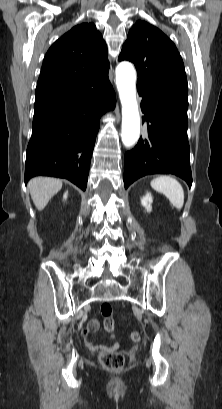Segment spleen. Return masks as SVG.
Masks as SVG:
<instances>
[{"instance_id":"1","label":"spleen","mask_w":222,"mask_h":409,"mask_svg":"<svg viewBox=\"0 0 222 409\" xmlns=\"http://www.w3.org/2000/svg\"><path fill=\"white\" fill-rule=\"evenodd\" d=\"M151 187L162 193L177 209H181L184 204V190L181 184L169 176H160L151 181Z\"/></svg>"}]
</instances>
